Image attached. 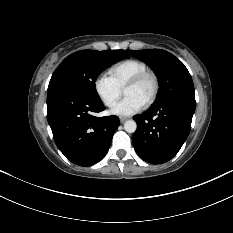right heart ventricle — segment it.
<instances>
[{"instance_id": "right-heart-ventricle-1", "label": "right heart ventricle", "mask_w": 233, "mask_h": 233, "mask_svg": "<svg viewBox=\"0 0 233 233\" xmlns=\"http://www.w3.org/2000/svg\"><path fill=\"white\" fill-rule=\"evenodd\" d=\"M148 70L145 62L138 59H127L113 65L109 69V76L123 89L126 83L137 74Z\"/></svg>"}]
</instances>
